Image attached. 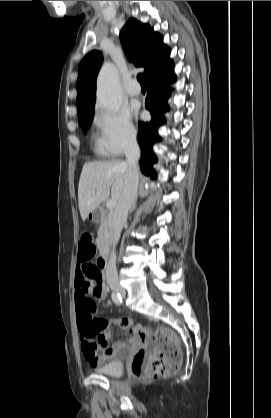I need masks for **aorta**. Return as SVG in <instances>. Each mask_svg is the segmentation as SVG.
<instances>
[{
  "label": "aorta",
  "instance_id": "1",
  "mask_svg": "<svg viewBox=\"0 0 271 418\" xmlns=\"http://www.w3.org/2000/svg\"><path fill=\"white\" fill-rule=\"evenodd\" d=\"M97 99L107 110L118 111L122 104L121 88L116 67L105 63L97 77Z\"/></svg>",
  "mask_w": 271,
  "mask_h": 418
}]
</instances>
